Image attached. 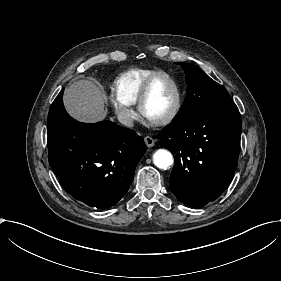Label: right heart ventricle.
Returning a JSON list of instances; mask_svg holds the SVG:
<instances>
[{
  "instance_id": "obj_1",
  "label": "right heart ventricle",
  "mask_w": 281,
  "mask_h": 281,
  "mask_svg": "<svg viewBox=\"0 0 281 281\" xmlns=\"http://www.w3.org/2000/svg\"><path fill=\"white\" fill-rule=\"evenodd\" d=\"M163 73L167 72L156 68H137L121 73L113 82L115 96L128 105H134L148 79Z\"/></svg>"
}]
</instances>
